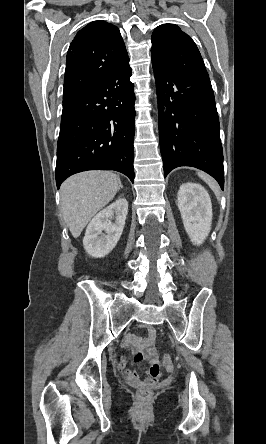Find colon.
Returning a JSON list of instances; mask_svg holds the SVG:
<instances>
[{
	"label": "colon",
	"mask_w": 266,
	"mask_h": 444,
	"mask_svg": "<svg viewBox=\"0 0 266 444\" xmlns=\"http://www.w3.org/2000/svg\"><path fill=\"white\" fill-rule=\"evenodd\" d=\"M163 363L167 370L173 369V362L170 356L165 355L163 357ZM152 396V392L149 388H142L138 391L137 397L140 403H146Z\"/></svg>",
	"instance_id": "5ec220e1"
}]
</instances>
